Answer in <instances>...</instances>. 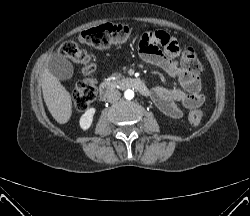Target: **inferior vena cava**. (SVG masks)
<instances>
[{
    "label": "inferior vena cava",
    "mask_w": 250,
    "mask_h": 216,
    "mask_svg": "<svg viewBox=\"0 0 250 216\" xmlns=\"http://www.w3.org/2000/svg\"><path fill=\"white\" fill-rule=\"evenodd\" d=\"M121 97V93L118 90H112L107 94V100L110 103L118 101Z\"/></svg>",
    "instance_id": "602c4592"
}]
</instances>
